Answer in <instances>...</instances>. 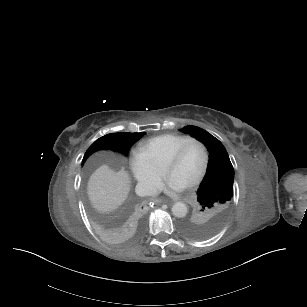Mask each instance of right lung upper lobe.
<instances>
[{"instance_id":"obj_1","label":"right lung upper lobe","mask_w":307,"mask_h":307,"mask_svg":"<svg viewBox=\"0 0 307 307\" xmlns=\"http://www.w3.org/2000/svg\"><path fill=\"white\" fill-rule=\"evenodd\" d=\"M144 217L143 207H131L122 213L110 218L108 224L119 226V225H135L139 224Z\"/></svg>"}]
</instances>
